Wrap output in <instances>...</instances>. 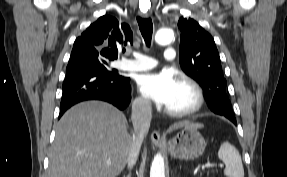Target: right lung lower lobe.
Here are the masks:
<instances>
[{
	"label": "right lung lower lobe",
	"mask_w": 287,
	"mask_h": 177,
	"mask_svg": "<svg viewBox=\"0 0 287 177\" xmlns=\"http://www.w3.org/2000/svg\"><path fill=\"white\" fill-rule=\"evenodd\" d=\"M130 78L111 75L95 69L67 72L59 117L71 106L87 100H102L125 109L131 100Z\"/></svg>",
	"instance_id": "obj_1"
}]
</instances>
